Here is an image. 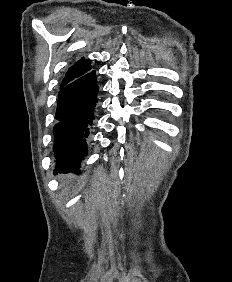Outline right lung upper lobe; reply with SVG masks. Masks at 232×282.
Returning <instances> with one entry per match:
<instances>
[{
    "mask_svg": "<svg viewBox=\"0 0 232 282\" xmlns=\"http://www.w3.org/2000/svg\"><path fill=\"white\" fill-rule=\"evenodd\" d=\"M91 70V65L89 60L87 59H80L75 64H73L67 71L65 77L61 84L70 82Z\"/></svg>",
    "mask_w": 232,
    "mask_h": 282,
    "instance_id": "1",
    "label": "right lung upper lobe"
}]
</instances>
